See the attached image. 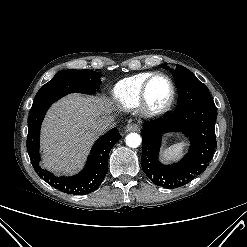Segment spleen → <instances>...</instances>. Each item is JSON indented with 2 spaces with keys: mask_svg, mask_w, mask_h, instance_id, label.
Listing matches in <instances>:
<instances>
[{
  "mask_svg": "<svg viewBox=\"0 0 247 247\" xmlns=\"http://www.w3.org/2000/svg\"><path fill=\"white\" fill-rule=\"evenodd\" d=\"M185 149V142H179L166 148L160 155L164 162H172L178 160Z\"/></svg>",
  "mask_w": 247,
  "mask_h": 247,
  "instance_id": "3e777b00",
  "label": "spleen"
}]
</instances>
